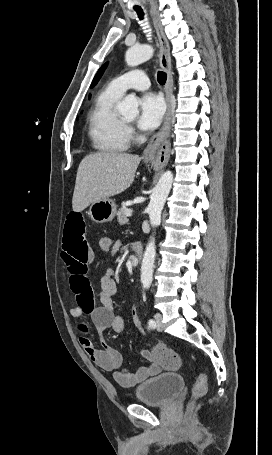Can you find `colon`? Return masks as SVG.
Instances as JSON below:
<instances>
[{
  "label": "colon",
  "mask_w": 272,
  "mask_h": 455,
  "mask_svg": "<svg viewBox=\"0 0 272 455\" xmlns=\"http://www.w3.org/2000/svg\"><path fill=\"white\" fill-rule=\"evenodd\" d=\"M98 246L103 253H107L111 246V240L108 236H101L98 240ZM152 358L163 368L167 370H177L181 366L179 355L172 349L157 345L152 351ZM207 392V377L204 373L199 372L192 390L193 398H200Z\"/></svg>",
  "instance_id": "colon-1"
}]
</instances>
